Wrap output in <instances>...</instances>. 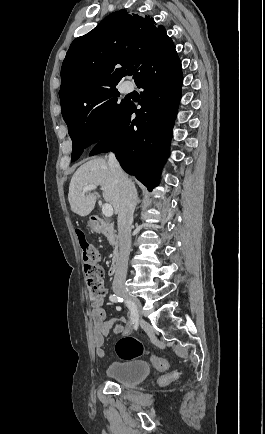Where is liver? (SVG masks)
Listing matches in <instances>:
<instances>
[{
  "label": "liver",
  "instance_id": "6515ba94",
  "mask_svg": "<svg viewBox=\"0 0 265 434\" xmlns=\"http://www.w3.org/2000/svg\"><path fill=\"white\" fill-rule=\"evenodd\" d=\"M85 186H101L105 202L111 204L115 214L120 208V190L115 178L114 170L108 166L103 158H95L80 166L73 174L69 186L68 200L70 208L78 216H88L94 210L97 200L96 194L84 196Z\"/></svg>",
  "mask_w": 265,
  "mask_h": 434
}]
</instances>
